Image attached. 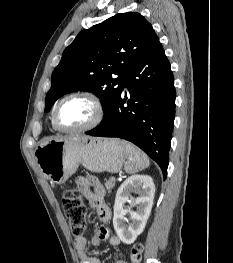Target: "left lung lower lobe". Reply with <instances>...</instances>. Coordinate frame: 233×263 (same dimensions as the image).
Instances as JSON below:
<instances>
[{
  "mask_svg": "<svg viewBox=\"0 0 233 263\" xmlns=\"http://www.w3.org/2000/svg\"><path fill=\"white\" fill-rule=\"evenodd\" d=\"M123 86L130 99L126 101V93L122 97V87L110 112L86 134L131 141L158 163L166 179L176 94L171 66L158 37L129 69Z\"/></svg>",
  "mask_w": 233,
  "mask_h": 263,
  "instance_id": "1",
  "label": "left lung lower lobe"
}]
</instances>
